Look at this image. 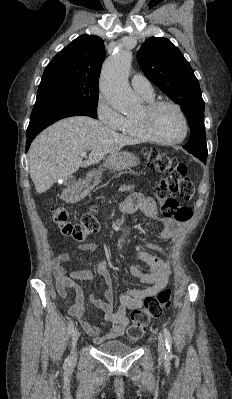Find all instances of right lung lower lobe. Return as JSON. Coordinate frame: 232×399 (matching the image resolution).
<instances>
[{"instance_id":"obj_1","label":"right lung lower lobe","mask_w":232,"mask_h":399,"mask_svg":"<svg viewBox=\"0 0 232 399\" xmlns=\"http://www.w3.org/2000/svg\"><path fill=\"white\" fill-rule=\"evenodd\" d=\"M90 116L97 118V114L87 111L83 107L60 99L37 96L32 110L30 123L27 128L26 152L33 139L46 127L54 122L72 116Z\"/></svg>"}]
</instances>
